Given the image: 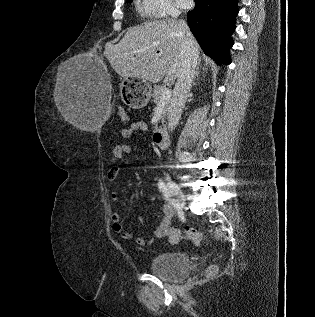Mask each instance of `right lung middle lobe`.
I'll return each instance as SVG.
<instances>
[{
    "label": "right lung middle lobe",
    "instance_id": "right-lung-middle-lobe-1",
    "mask_svg": "<svg viewBox=\"0 0 315 317\" xmlns=\"http://www.w3.org/2000/svg\"><path fill=\"white\" fill-rule=\"evenodd\" d=\"M132 1H133V0H127V2H130V3H131Z\"/></svg>",
    "mask_w": 315,
    "mask_h": 317
}]
</instances>
